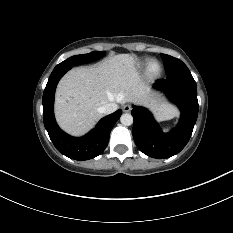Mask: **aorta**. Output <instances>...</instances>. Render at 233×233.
I'll use <instances>...</instances> for the list:
<instances>
[{"label": "aorta", "instance_id": "aorta-1", "mask_svg": "<svg viewBox=\"0 0 233 233\" xmlns=\"http://www.w3.org/2000/svg\"><path fill=\"white\" fill-rule=\"evenodd\" d=\"M120 121L124 126H130L133 124V116L129 113L122 114Z\"/></svg>", "mask_w": 233, "mask_h": 233}]
</instances>
